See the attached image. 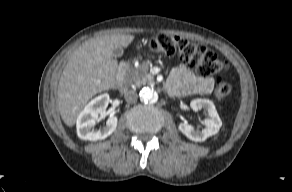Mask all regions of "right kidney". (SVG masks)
I'll return each instance as SVG.
<instances>
[{
    "instance_id": "1",
    "label": "right kidney",
    "mask_w": 292,
    "mask_h": 192,
    "mask_svg": "<svg viewBox=\"0 0 292 192\" xmlns=\"http://www.w3.org/2000/svg\"><path fill=\"white\" fill-rule=\"evenodd\" d=\"M109 101V95L104 93L95 97L85 106L76 123L77 135L80 139L89 141L103 140L115 131L118 121L116 116H110L103 128L94 130L98 114L107 108Z\"/></svg>"
}]
</instances>
